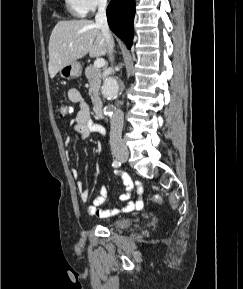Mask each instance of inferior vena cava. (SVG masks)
<instances>
[{
	"label": "inferior vena cava",
	"instance_id": "obj_1",
	"mask_svg": "<svg viewBox=\"0 0 243 289\" xmlns=\"http://www.w3.org/2000/svg\"><path fill=\"white\" fill-rule=\"evenodd\" d=\"M107 0H98V12L95 16L96 25L101 29L103 37L108 43V55L113 62V40L109 31V26L106 17ZM110 73L113 72V67L109 68ZM110 126V147L112 153L126 152L127 148L122 140V129L124 123V115L120 109H115L111 116Z\"/></svg>",
	"mask_w": 243,
	"mask_h": 289
}]
</instances>
